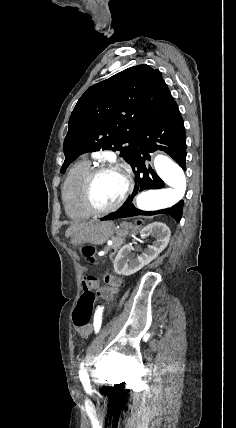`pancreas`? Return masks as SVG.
Segmentation results:
<instances>
[{"label": "pancreas", "mask_w": 236, "mask_h": 428, "mask_svg": "<svg viewBox=\"0 0 236 428\" xmlns=\"http://www.w3.org/2000/svg\"><path fill=\"white\" fill-rule=\"evenodd\" d=\"M120 240H121V238H112L113 246H111V248H109V246H105V248H104L105 254H107L108 250H112V252H110V260H111V258H113V256H115V254L119 248Z\"/></svg>", "instance_id": "pancreas-1"}]
</instances>
